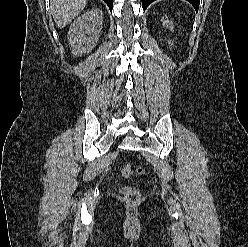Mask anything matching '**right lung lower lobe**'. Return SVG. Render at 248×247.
Listing matches in <instances>:
<instances>
[{
    "label": "right lung lower lobe",
    "mask_w": 248,
    "mask_h": 247,
    "mask_svg": "<svg viewBox=\"0 0 248 247\" xmlns=\"http://www.w3.org/2000/svg\"><path fill=\"white\" fill-rule=\"evenodd\" d=\"M106 4L108 5L110 11H112L113 8V0H104Z\"/></svg>",
    "instance_id": "right-lung-lower-lobe-1"
}]
</instances>
